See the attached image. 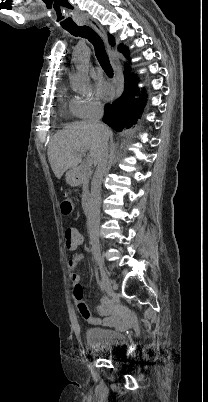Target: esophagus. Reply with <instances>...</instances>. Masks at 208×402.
Returning a JSON list of instances; mask_svg holds the SVG:
<instances>
[{
	"label": "esophagus",
	"instance_id": "obj_1",
	"mask_svg": "<svg viewBox=\"0 0 208 402\" xmlns=\"http://www.w3.org/2000/svg\"><path fill=\"white\" fill-rule=\"evenodd\" d=\"M81 23L82 24L87 23V24L91 25V27H93L99 33V35H101V37L104 39L106 47H107L108 55L110 58V62L116 73V78H117L116 97H120V95L122 94V91H123V81H122V75H121V71H120V65H119L118 60H116L114 57V50L111 48V46L108 43V38H107L106 32L99 25V23L93 17H91V15H89L88 13H83L82 18H81Z\"/></svg>",
	"mask_w": 208,
	"mask_h": 402
}]
</instances>
